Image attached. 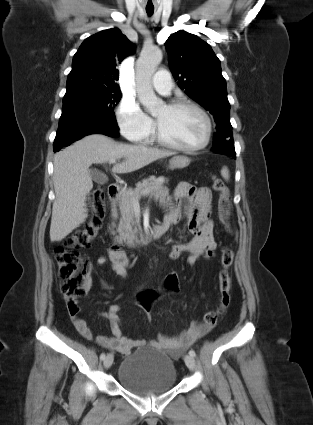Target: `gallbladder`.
<instances>
[{
  "mask_svg": "<svg viewBox=\"0 0 313 425\" xmlns=\"http://www.w3.org/2000/svg\"><path fill=\"white\" fill-rule=\"evenodd\" d=\"M91 176L92 179L98 184H104L106 182V176L98 170H92Z\"/></svg>",
  "mask_w": 313,
  "mask_h": 425,
  "instance_id": "gallbladder-1",
  "label": "gallbladder"
}]
</instances>
